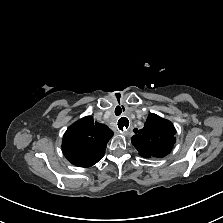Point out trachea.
I'll list each match as a JSON object with an SVG mask.
<instances>
[{
    "label": "trachea",
    "mask_w": 223,
    "mask_h": 223,
    "mask_svg": "<svg viewBox=\"0 0 223 223\" xmlns=\"http://www.w3.org/2000/svg\"><path fill=\"white\" fill-rule=\"evenodd\" d=\"M115 114L117 115V116H119L120 114H121V108L118 106V107H116V109H115Z\"/></svg>",
    "instance_id": "3493384b"
}]
</instances>
